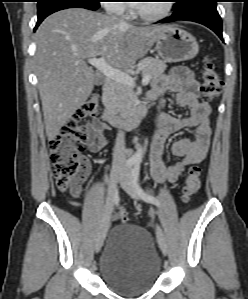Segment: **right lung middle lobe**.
Masks as SVG:
<instances>
[{
    "instance_id": "dd1d6c3e",
    "label": "right lung middle lobe",
    "mask_w": 248,
    "mask_h": 299,
    "mask_svg": "<svg viewBox=\"0 0 248 299\" xmlns=\"http://www.w3.org/2000/svg\"><path fill=\"white\" fill-rule=\"evenodd\" d=\"M38 9H41L44 6H47L53 2H56L58 0H38ZM74 1H78V2H83L85 4L94 6V7H98L100 6L99 1L100 0H74Z\"/></svg>"
}]
</instances>
